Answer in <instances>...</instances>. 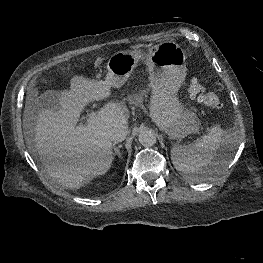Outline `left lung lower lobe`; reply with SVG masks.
<instances>
[{
  "instance_id": "obj_1",
  "label": "left lung lower lobe",
  "mask_w": 263,
  "mask_h": 263,
  "mask_svg": "<svg viewBox=\"0 0 263 263\" xmlns=\"http://www.w3.org/2000/svg\"><path fill=\"white\" fill-rule=\"evenodd\" d=\"M215 166V165H214ZM214 167L210 168L208 171H213Z\"/></svg>"
}]
</instances>
